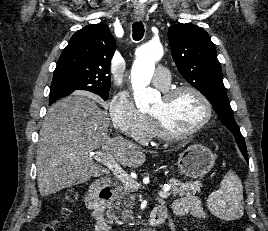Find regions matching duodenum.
<instances>
[{"label": "duodenum", "instance_id": "duodenum-1", "mask_svg": "<svg viewBox=\"0 0 268 231\" xmlns=\"http://www.w3.org/2000/svg\"><path fill=\"white\" fill-rule=\"evenodd\" d=\"M112 198V180L102 178L93 186L91 193L86 198V204L93 211V217L97 221V231H111L104 218V207ZM161 209H155L149 216L148 226L154 227L165 219Z\"/></svg>", "mask_w": 268, "mask_h": 231}]
</instances>
